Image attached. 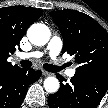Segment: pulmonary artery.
Returning <instances> with one entry per match:
<instances>
[{"label": "pulmonary artery", "instance_id": "pulmonary-artery-1", "mask_svg": "<svg viewBox=\"0 0 108 108\" xmlns=\"http://www.w3.org/2000/svg\"><path fill=\"white\" fill-rule=\"evenodd\" d=\"M61 48H62V41L59 37L55 36L50 40L47 46V52L49 53L50 57L53 60H58L57 56L59 55ZM42 56H43L42 52L36 51V52L23 54L21 57L22 58H40ZM58 67H61L62 70L65 68L64 65H59ZM66 74L69 77H73L75 75V69H67Z\"/></svg>", "mask_w": 108, "mask_h": 108}]
</instances>
